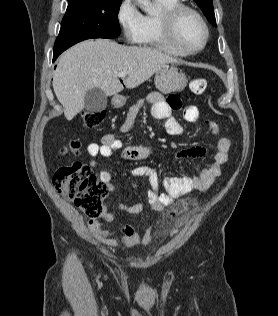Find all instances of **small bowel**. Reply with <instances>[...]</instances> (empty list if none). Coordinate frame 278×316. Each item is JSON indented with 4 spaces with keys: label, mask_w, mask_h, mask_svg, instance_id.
<instances>
[{
    "label": "small bowel",
    "mask_w": 278,
    "mask_h": 316,
    "mask_svg": "<svg viewBox=\"0 0 278 316\" xmlns=\"http://www.w3.org/2000/svg\"><path fill=\"white\" fill-rule=\"evenodd\" d=\"M146 101L151 104V114L157 119L164 121L165 130L173 136H180L184 133V128L180 122L172 116V111L180 109L182 104L178 97L171 96L165 99L161 94L153 92L149 94ZM144 100H139L134 104L127 114V118L121 126L122 132H128L141 109ZM184 119L188 122H196L200 119V112L195 105H187L183 109ZM208 125L214 133L218 132V126L215 122L207 120ZM231 141L226 137L219 138L216 146V153L213 162L202 169L199 175L169 176L162 182L157 171L149 166L140 165L131 169L130 173L137 177H146L149 182L148 200L149 205L155 212L163 210L171 205L173 201L194 190L205 191L211 187L217 177L221 175L222 166L228 161ZM116 151H119L124 160L141 161L150 156V150L142 145H124L123 142L113 134H106L102 137L101 143H89L87 152L92 158L89 162L91 168L97 166L96 158L111 157ZM206 154V149L202 147H191L179 151L175 156V161L186 157H202ZM101 181L106 184L108 189L113 187L110 172L103 170L100 172ZM163 185L165 192H160V186ZM119 207L131 214L141 213L145 205L142 202L133 205L121 204ZM105 222H112L115 216L112 212L105 209L102 214ZM93 237L106 246H122L124 248H133L138 245H147L152 238V230L147 229L143 235H140L131 224L123 225L119 230H109L95 220L88 224Z\"/></svg>",
    "instance_id": "small-bowel-1"
}]
</instances>
